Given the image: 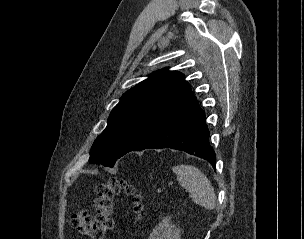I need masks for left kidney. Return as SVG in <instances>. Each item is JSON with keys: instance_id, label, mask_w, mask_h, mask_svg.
I'll return each mask as SVG.
<instances>
[{"instance_id": "obj_1", "label": "left kidney", "mask_w": 304, "mask_h": 239, "mask_svg": "<svg viewBox=\"0 0 304 239\" xmlns=\"http://www.w3.org/2000/svg\"><path fill=\"white\" fill-rule=\"evenodd\" d=\"M171 217H165L153 229L148 239H180L181 230L170 223Z\"/></svg>"}]
</instances>
